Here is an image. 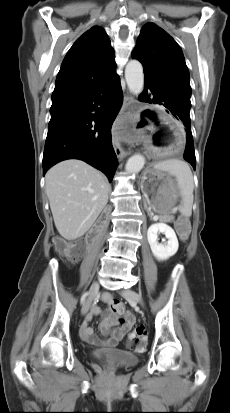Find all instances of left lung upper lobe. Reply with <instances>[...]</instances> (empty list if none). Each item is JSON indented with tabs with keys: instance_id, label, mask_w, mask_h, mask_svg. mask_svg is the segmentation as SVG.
<instances>
[{
	"instance_id": "left-lung-upper-lobe-1",
	"label": "left lung upper lobe",
	"mask_w": 230,
	"mask_h": 413,
	"mask_svg": "<svg viewBox=\"0 0 230 413\" xmlns=\"http://www.w3.org/2000/svg\"><path fill=\"white\" fill-rule=\"evenodd\" d=\"M132 57L142 63L144 70L157 75L168 90L191 106L189 71L181 48L166 31L154 23L144 25Z\"/></svg>"
}]
</instances>
